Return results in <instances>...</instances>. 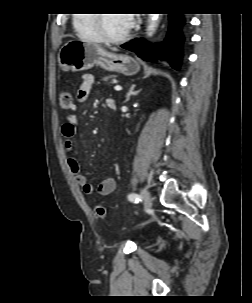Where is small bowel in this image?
<instances>
[{
    "label": "small bowel",
    "mask_w": 252,
    "mask_h": 303,
    "mask_svg": "<svg viewBox=\"0 0 252 303\" xmlns=\"http://www.w3.org/2000/svg\"><path fill=\"white\" fill-rule=\"evenodd\" d=\"M94 82L95 76L92 73H84L82 75L81 84L77 91V99L79 102L83 103L88 100ZM110 102H114V100L112 98H108L106 100L107 106ZM76 133L77 119L73 114H70L62 125L64 147L69 152L73 150ZM67 165L74 181L81 187L85 195H92L97 192L100 196H106L116 189V180L113 177L104 178L95 189V187L88 181L87 177L82 173L81 167L74 157H68Z\"/></svg>",
    "instance_id": "c3829d8e"
}]
</instances>
